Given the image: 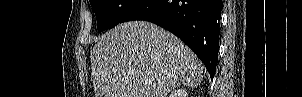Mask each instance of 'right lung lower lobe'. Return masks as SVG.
I'll list each match as a JSON object with an SVG mask.
<instances>
[{"label": "right lung lower lobe", "mask_w": 302, "mask_h": 97, "mask_svg": "<svg viewBox=\"0 0 302 97\" xmlns=\"http://www.w3.org/2000/svg\"><path fill=\"white\" fill-rule=\"evenodd\" d=\"M221 11L222 0H141L122 22L145 20L172 32L198 55L213 79Z\"/></svg>", "instance_id": "1"}]
</instances>
